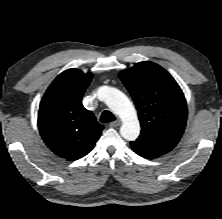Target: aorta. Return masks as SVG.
Listing matches in <instances>:
<instances>
[{
	"instance_id": "762f6f07",
	"label": "aorta",
	"mask_w": 222,
	"mask_h": 219,
	"mask_svg": "<svg viewBox=\"0 0 222 219\" xmlns=\"http://www.w3.org/2000/svg\"><path fill=\"white\" fill-rule=\"evenodd\" d=\"M106 105L122 120L121 136L128 141H135L140 134L137 112L129 98L120 90L103 86L98 91Z\"/></svg>"
}]
</instances>
